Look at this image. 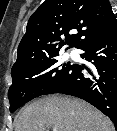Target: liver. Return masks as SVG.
Returning <instances> with one entry per match:
<instances>
[{"mask_svg": "<svg viewBox=\"0 0 117 131\" xmlns=\"http://www.w3.org/2000/svg\"><path fill=\"white\" fill-rule=\"evenodd\" d=\"M113 131L110 120L85 101L46 96L21 110L15 131Z\"/></svg>", "mask_w": 117, "mask_h": 131, "instance_id": "liver-1", "label": "liver"}]
</instances>
